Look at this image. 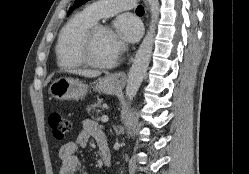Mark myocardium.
<instances>
[{"mask_svg":"<svg viewBox=\"0 0 249 174\" xmlns=\"http://www.w3.org/2000/svg\"><path fill=\"white\" fill-rule=\"evenodd\" d=\"M99 31H111V28L104 24H94L91 26L83 35L81 43L79 46V54L84 62V64L97 68V69H107L113 67L117 62L116 57L110 62H98L94 60L91 56V45L95 34Z\"/></svg>","mask_w":249,"mask_h":174,"instance_id":"obj_1","label":"myocardium"}]
</instances>
